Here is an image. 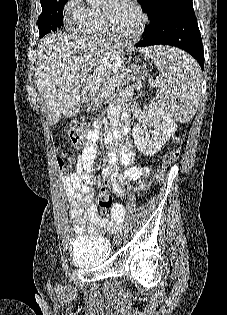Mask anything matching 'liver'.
Here are the masks:
<instances>
[{
    "instance_id": "1",
    "label": "liver",
    "mask_w": 227,
    "mask_h": 315,
    "mask_svg": "<svg viewBox=\"0 0 227 315\" xmlns=\"http://www.w3.org/2000/svg\"><path fill=\"white\" fill-rule=\"evenodd\" d=\"M116 49L110 42L61 31L40 40L35 77L49 125L59 122L62 115L71 117L79 113L89 74L94 72L99 77L110 69L112 56L121 55Z\"/></svg>"
}]
</instances>
